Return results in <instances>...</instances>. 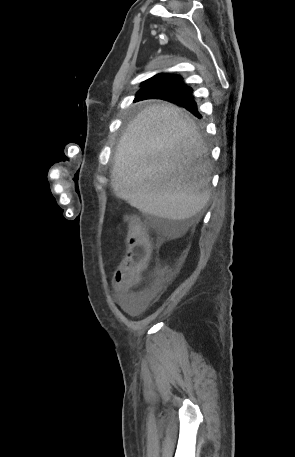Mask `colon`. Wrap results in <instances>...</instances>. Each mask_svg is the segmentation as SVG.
<instances>
[{"label":"colon","instance_id":"1","mask_svg":"<svg viewBox=\"0 0 295 457\" xmlns=\"http://www.w3.org/2000/svg\"><path fill=\"white\" fill-rule=\"evenodd\" d=\"M127 240L126 255L117 271L118 275L125 278V287L131 289L137 284L151 253L150 240L141 222L136 218L129 219Z\"/></svg>","mask_w":295,"mask_h":457}]
</instances>
